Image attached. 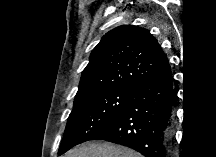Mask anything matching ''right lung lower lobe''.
Wrapping results in <instances>:
<instances>
[{
    "label": "right lung lower lobe",
    "mask_w": 216,
    "mask_h": 157,
    "mask_svg": "<svg viewBox=\"0 0 216 157\" xmlns=\"http://www.w3.org/2000/svg\"><path fill=\"white\" fill-rule=\"evenodd\" d=\"M173 77L168 64L134 86L121 114L92 140L128 146L144 157H169L172 141Z\"/></svg>",
    "instance_id": "98d812e1"
}]
</instances>
